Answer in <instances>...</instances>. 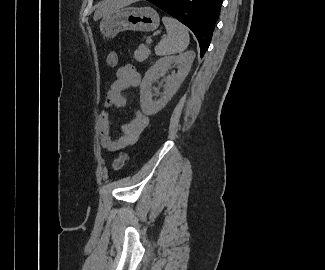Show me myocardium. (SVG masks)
Wrapping results in <instances>:
<instances>
[{"instance_id":"f54148a6","label":"myocardium","mask_w":325,"mask_h":270,"mask_svg":"<svg viewBox=\"0 0 325 270\" xmlns=\"http://www.w3.org/2000/svg\"><path fill=\"white\" fill-rule=\"evenodd\" d=\"M134 1H139V0H127V2H134Z\"/></svg>"}]
</instances>
